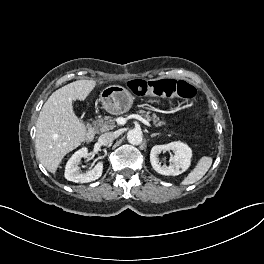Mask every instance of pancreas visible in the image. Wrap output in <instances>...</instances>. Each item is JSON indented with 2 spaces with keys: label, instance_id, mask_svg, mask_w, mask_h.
I'll return each instance as SVG.
<instances>
[{
  "label": "pancreas",
  "instance_id": "1",
  "mask_svg": "<svg viewBox=\"0 0 264 264\" xmlns=\"http://www.w3.org/2000/svg\"><path fill=\"white\" fill-rule=\"evenodd\" d=\"M139 113L148 121H153V124L157 127L165 124V121H160L159 117L155 113L151 115L150 111L146 112L144 110H140ZM115 127V119H113L111 116H105L104 118L93 121V129L96 133L107 132L114 129Z\"/></svg>",
  "mask_w": 264,
  "mask_h": 264
}]
</instances>
